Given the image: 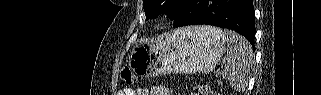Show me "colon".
Segmentation results:
<instances>
[{
  "label": "colon",
  "mask_w": 321,
  "mask_h": 95,
  "mask_svg": "<svg viewBox=\"0 0 321 95\" xmlns=\"http://www.w3.org/2000/svg\"><path fill=\"white\" fill-rule=\"evenodd\" d=\"M120 78L126 85H133L136 83V76L129 68H123L120 71ZM196 90L199 94H212V92L205 86H199Z\"/></svg>",
  "instance_id": "colon-1"
}]
</instances>
